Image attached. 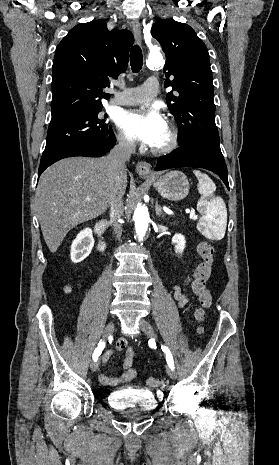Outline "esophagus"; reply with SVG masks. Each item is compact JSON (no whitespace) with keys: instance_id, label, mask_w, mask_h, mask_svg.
Wrapping results in <instances>:
<instances>
[{"instance_id":"1","label":"esophagus","mask_w":279,"mask_h":465,"mask_svg":"<svg viewBox=\"0 0 279 465\" xmlns=\"http://www.w3.org/2000/svg\"><path fill=\"white\" fill-rule=\"evenodd\" d=\"M131 26H132L137 42L141 45L142 44V27H141L139 20L137 19L132 20ZM136 172L141 177H148L152 174L151 166L149 163L145 161H139L136 165Z\"/></svg>"}]
</instances>
